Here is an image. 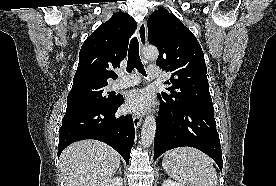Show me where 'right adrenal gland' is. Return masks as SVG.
<instances>
[{"mask_svg":"<svg viewBox=\"0 0 276 186\" xmlns=\"http://www.w3.org/2000/svg\"><path fill=\"white\" fill-rule=\"evenodd\" d=\"M118 173L121 174V167H119Z\"/></svg>","mask_w":276,"mask_h":186,"instance_id":"obj_1","label":"right adrenal gland"}]
</instances>
